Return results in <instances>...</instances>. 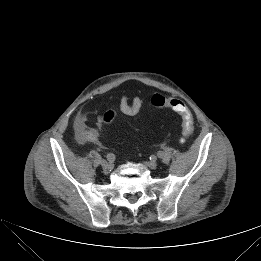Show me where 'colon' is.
Wrapping results in <instances>:
<instances>
[{
  "label": "colon",
  "mask_w": 261,
  "mask_h": 261,
  "mask_svg": "<svg viewBox=\"0 0 261 261\" xmlns=\"http://www.w3.org/2000/svg\"><path fill=\"white\" fill-rule=\"evenodd\" d=\"M151 104L156 108L171 109L181 116L182 143L191 136L194 129V121L189 108L182 100L173 97H164L160 94H155L151 98ZM102 119L105 123L112 122L115 119V112L107 111L105 114L102 115Z\"/></svg>",
  "instance_id": "1"
}]
</instances>
